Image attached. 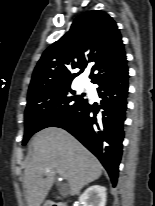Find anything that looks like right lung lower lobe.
<instances>
[{
  "label": "right lung lower lobe",
  "mask_w": 155,
  "mask_h": 206,
  "mask_svg": "<svg viewBox=\"0 0 155 206\" xmlns=\"http://www.w3.org/2000/svg\"><path fill=\"white\" fill-rule=\"evenodd\" d=\"M128 78L125 65L115 74L96 83L99 85L98 95L102 98L100 106L96 102L90 104L87 100L53 125L67 130L89 149L105 167L114 186L122 155Z\"/></svg>",
  "instance_id": "right-lung-lower-lobe-1"
}]
</instances>
